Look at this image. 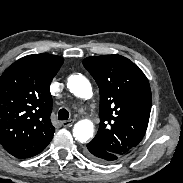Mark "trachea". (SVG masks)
Instances as JSON below:
<instances>
[{"mask_svg":"<svg viewBox=\"0 0 183 183\" xmlns=\"http://www.w3.org/2000/svg\"><path fill=\"white\" fill-rule=\"evenodd\" d=\"M69 118V112L66 109H61L58 112V119L59 120H67Z\"/></svg>","mask_w":183,"mask_h":183,"instance_id":"trachea-1","label":"trachea"}]
</instances>
